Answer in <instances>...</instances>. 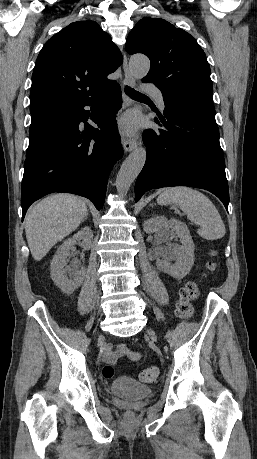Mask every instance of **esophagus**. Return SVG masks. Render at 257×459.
<instances>
[{
  "label": "esophagus",
  "instance_id": "obj_1",
  "mask_svg": "<svg viewBox=\"0 0 257 459\" xmlns=\"http://www.w3.org/2000/svg\"><path fill=\"white\" fill-rule=\"evenodd\" d=\"M123 71H124V76H125V83L128 86H135V80L128 68V62H127V57L124 55V60H123ZM138 141L137 139H131V138H124L123 139V148L125 152H130L134 149L137 148Z\"/></svg>",
  "mask_w": 257,
  "mask_h": 459
}]
</instances>
